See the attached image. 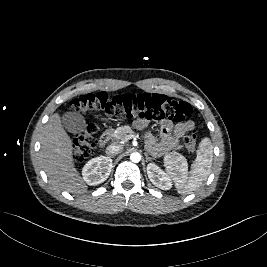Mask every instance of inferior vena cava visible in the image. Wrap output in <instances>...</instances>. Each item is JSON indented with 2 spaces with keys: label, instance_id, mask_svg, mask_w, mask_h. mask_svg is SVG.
<instances>
[{
  "label": "inferior vena cava",
  "instance_id": "602c4592",
  "mask_svg": "<svg viewBox=\"0 0 267 267\" xmlns=\"http://www.w3.org/2000/svg\"><path fill=\"white\" fill-rule=\"evenodd\" d=\"M123 149L122 145L119 144H111L106 148V153L109 156H116L119 154Z\"/></svg>",
  "mask_w": 267,
  "mask_h": 267
}]
</instances>
